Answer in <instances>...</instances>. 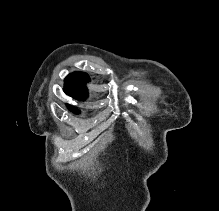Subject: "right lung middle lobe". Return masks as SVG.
<instances>
[{"mask_svg": "<svg viewBox=\"0 0 219 211\" xmlns=\"http://www.w3.org/2000/svg\"><path fill=\"white\" fill-rule=\"evenodd\" d=\"M68 108H69L72 112H74V113H79V110L76 109L75 107L68 106Z\"/></svg>", "mask_w": 219, "mask_h": 211, "instance_id": "dd1d6c3e", "label": "right lung middle lobe"}]
</instances>
